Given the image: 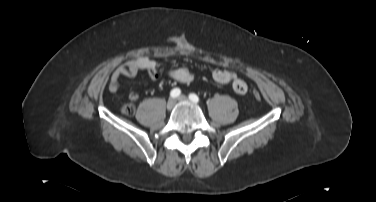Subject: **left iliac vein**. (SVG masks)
<instances>
[{
  "instance_id": "obj_1",
  "label": "left iliac vein",
  "mask_w": 376,
  "mask_h": 202,
  "mask_svg": "<svg viewBox=\"0 0 376 202\" xmlns=\"http://www.w3.org/2000/svg\"><path fill=\"white\" fill-rule=\"evenodd\" d=\"M178 101H180V102H186V101H188V98L186 96H184V95H181V96L178 97Z\"/></svg>"
}]
</instances>
